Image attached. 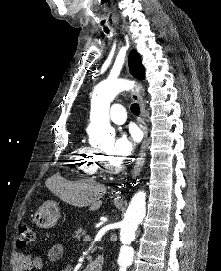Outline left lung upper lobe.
<instances>
[{"label":"left lung upper lobe","mask_w":221,"mask_h":271,"mask_svg":"<svg viewBox=\"0 0 221 271\" xmlns=\"http://www.w3.org/2000/svg\"><path fill=\"white\" fill-rule=\"evenodd\" d=\"M129 69L134 77L139 79L144 78V67L141 64L139 54L135 50H132L129 55Z\"/></svg>","instance_id":"obj_1"}]
</instances>
